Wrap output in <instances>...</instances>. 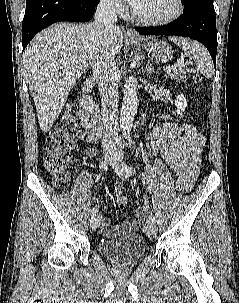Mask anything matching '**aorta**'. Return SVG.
<instances>
[{"label": "aorta", "mask_w": 239, "mask_h": 303, "mask_svg": "<svg viewBox=\"0 0 239 303\" xmlns=\"http://www.w3.org/2000/svg\"><path fill=\"white\" fill-rule=\"evenodd\" d=\"M139 105L137 82L129 77L124 85V96L120 113V128L124 136L129 135Z\"/></svg>", "instance_id": "aorta-1"}]
</instances>
